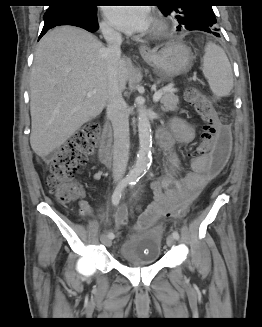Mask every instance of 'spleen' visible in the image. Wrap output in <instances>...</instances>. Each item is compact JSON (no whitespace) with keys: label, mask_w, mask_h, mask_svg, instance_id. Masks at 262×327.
I'll return each mask as SVG.
<instances>
[{"label":"spleen","mask_w":262,"mask_h":327,"mask_svg":"<svg viewBox=\"0 0 262 327\" xmlns=\"http://www.w3.org/2000/svg\"><path fill=\"white\" fill-rule=\"evenodd\" d=\"M202 61L203 74L208 79L214 96L219 98L229 95L233 88V74L224 50L209 42L205 47Z\"/></svg>","instance_id":"1"}]
</instances>
